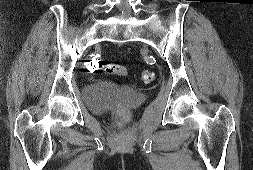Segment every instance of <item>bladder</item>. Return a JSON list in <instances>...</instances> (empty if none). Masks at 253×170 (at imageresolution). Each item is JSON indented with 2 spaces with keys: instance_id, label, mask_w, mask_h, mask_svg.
<instances>
[{
  "instance_id": "31cf9c89",
  "label": "bladder",
  "mask_w": 253,
  "mask_h": 170,
  "mask_svg": "<svg viewBox=\"0 0 253 170\" xmlns=\"http://www.w3.org/2000/svg\"><path fill=\"white\" fill-rule=\"evenodd\" d=\"M84 99L91 110L103 113L117 102L135 108L145 101L146 96L138 90L120 89L109 82L101 81L87 85Z\"/></svg>"
}]
</instances>
